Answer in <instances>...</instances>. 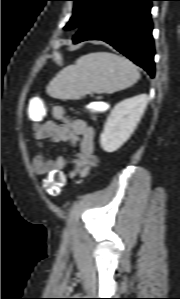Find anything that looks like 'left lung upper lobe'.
Listing matches in <instances>:
<instances>
[{"mask_svg":"<svg viewBox=\"0 0 180 299\" xmlns=\"http://www.w3.org/2000/svg\"><path fill=\"white\" fill-rule=\"evenodd\" d=\"M75 2L73 15L69 22L64 27L65 30L74 29L80 27L85 20L89 11L95 5L98 0H72Z\"/></svg>","mask_w":180,"mask_h":299,"instance_id":"1","label":"left lung upper lobe"}]
</instances>
